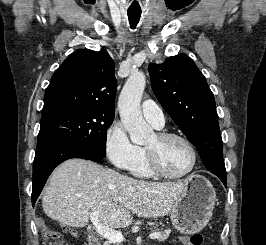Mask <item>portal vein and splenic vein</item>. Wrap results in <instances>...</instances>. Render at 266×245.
I'll use <instances>...</instances> for the list:
<instances>
[{
    "instance_id": "18ae733b",
    "label": "portal vein and splenic vein",
    "mask_w": 266,
    "mask_h": 245,
    "mask_svg": "<svg viewBox=\"0 0 266 245\" xmlns=\"http://www.w3.org/2000/svg\"><path fill=\"white\" fill-rule=\"evenodd\" d=\"M91 223L94 225L96 229V233H99L101 237L104 239H108V241H112V243H123L124 237L120 231H114V229H110V227H104L98 221V211H93L90 215ZM150 239H158V233H151L149 235Z\"/></svg>"
}]
</instances>
